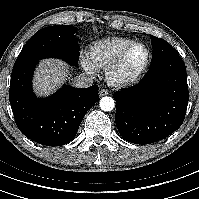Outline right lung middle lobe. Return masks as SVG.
<instances>
[{"label":"right lung middle lobe","mask_w":199,"mask_h":199,"mask_svg":"<svg viewBox=\"0 0 199 199\" xmlns=\"http://www.w3.org/2000/svg\"><path fill=\"white\" fill-rule=\"evenodd\" d=\"M76 28L58 25L40 29L24 45L13 69L41 59L57 57L75 65L79 58V44L74 36Z\"/></svg>","instance_id":"obj_1"}]
</instances>
